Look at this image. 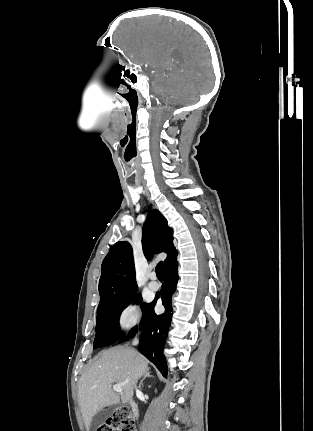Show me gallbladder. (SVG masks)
Segmentation results:
<instances>
[{"instance_id": "bac80fb5", "label": "gallbladder", "mask_w": 313, "mask_h": 431, "mask_svg": "<svg viewBox=\"0 0 313 431\" xmlns=\"http://www.w3.org/2000/svg\"><path fill=\"white\" fill-rule=\"evenodd\" d=\"M108 410L100 412L95 415V418L93 420V425H101L103 420L108 416Z\"/></svg>"}]
</instances>
